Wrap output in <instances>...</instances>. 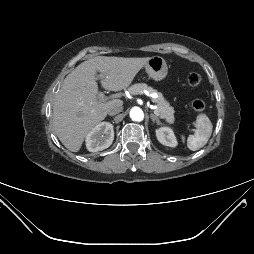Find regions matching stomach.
<instances>
[{
  "instance_id": "1",
  "label": "stomach",
  "mask_w": 254,
  "mask_h": 254,
  "mask_svg": "<svg viewBox=\"0 0 254 254\" xmlns=\"http://www.w3.org/2000/svg\"><path fill=\"white\" fill-rule=\"evenodd\" d=\"M144 67L148 76L155 81L163 80L168 73L166 61L160 56L150 57Z\"/></svg>"
}]
</instances>
